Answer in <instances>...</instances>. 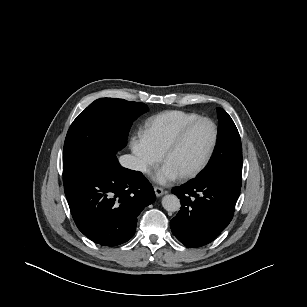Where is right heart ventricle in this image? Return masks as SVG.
<instances>
[{
    "instance_id": "obj_1",
    "label": "right heart ventricle",
    "mask_w": 307,
    "mask_h": 307,
    "mask_svg": "<svg viewBox=\"0 0 307 307\" xmlns=\"http://www.w3.org/2000/svg\"><path fill=\"white\" fill-rule=\"evenodd\" d=\"M201 117L197 113L172 110L158 114L148 120L144 136L152 147L163 154L177 133L189 122Z\"/></svg>"
}]
</instances>
